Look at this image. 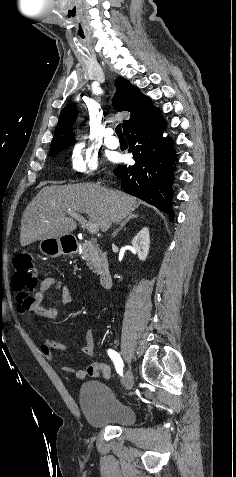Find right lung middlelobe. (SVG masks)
Segmentation results:
<instances>
[{
    "label": "right lung middle lobe",
    "instance_id": "right-lung-middle-lobe-1",
    "mask_svg": "<svg viewBox=\"0 0 236 477\" xmlns=\"http://www.w3.org/2000/svg\"><path fill=\"white\" fill-rule=\"evenodd\" d=\"M62 150H64V148H58V149L50 150L49 156H50V157H54V156H56L59 152H61Z\"/></svg>",
    "mask_w": 236,
    "mask_h": 477
}]
</instances>
